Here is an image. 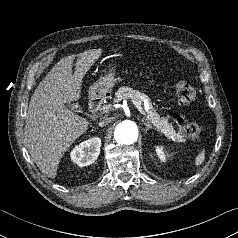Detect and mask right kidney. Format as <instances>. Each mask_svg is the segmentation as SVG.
<instances>
[{
    "label": "right kidney",
    "instance_id": "1",
    "mask_svg": "<svg viewBox=\"0 0 238 238\" xmlns=\"http://www.w3.org/2000/svg\"><path fill=\"white\" fill-rule=\"evenodd\" d=\"M100 147L101 139L99 137L90 138L72 150L71 160L80 167L88 166L98 158Z\"/></svg>",
    "mask_w": 238,
    "mask_h": 238
}]
</instances>
